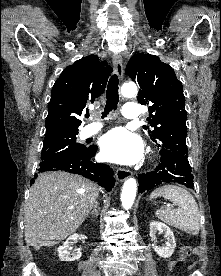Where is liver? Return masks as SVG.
<instances>
[{"label":"liver","mask_w":221,"mask_h":276,"mask_svg":"<svg viewBox=\"0 0 221 276\" xmlns=\"http://www.w3.org/2000/svg\"><path fill=\"white\" fill-rule=\"evenodd\" d=\"M98 186L79 175L46 172L30 189L24 223L25 241L39 250L74 233L90 213Z\"/></svg>","instance_id":"6515ba94"}]
</instances>
